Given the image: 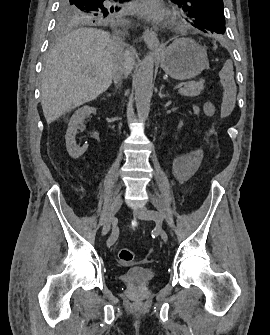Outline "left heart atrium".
I'll list each match as a JSON object with an SVG mask.
<instances>
[{
	"label": "left heart atrium",
	"mask_w": 270,
	"mask_h": 335,
	"mask_svg": "<svg viewBox=\"0 0 270 335\" xmlns=\"http://www.w3.org/2000/svg\"><path fill=\"white\" fill-rule=\"evenodd\" d=\"M134 12L154 25L165 26L172 21L170 14L162 8L159 0L138 1L135 3Z\"/></svg>",
	"instance_id": "1"
}]
</instances>
